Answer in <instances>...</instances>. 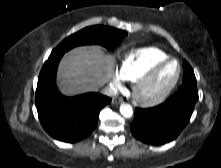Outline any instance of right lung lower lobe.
Segmentation results:
<instances>
[{
	"label": "right lung lower lobe",
	"mask_w": 221,
	"mask_h": 168,
	"mask_svg": "<svg viewBox=\"0 0 221 168\" xmlns=\"http://www.w3.org/2000/svg\"><path fill=\"white\" fill-rule=\"evenodd\" d=\"M63 55H50L38 77L36 107L45 131L54 139L74 143L86 138L96 127L101 108L111 102L107 96L87 93L73 98L63 96L55 85Z\"/></svg>",
	"instance_id": "98d812e1"
}]
</instances>
